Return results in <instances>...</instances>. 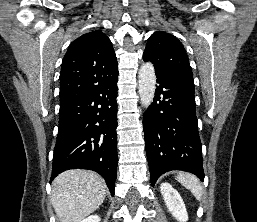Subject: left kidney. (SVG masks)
<instances>
[{
    "label": "left kidney",
    "instance_id": "left-kidney-1",
    "mask_svg": "<svg viewBox=\"0 0 257 222\" xmlns=\"http://www.w3.org/2000/svg\"><path fill=\"white\" fill-rule=\"evenodd\" d=\"M160 191L168 211L173 215V217L180 222H186L188 220V214L179 193L166 182L160 185Z\"/></svg>",
    "mask_w": 257,
    "mask_h": 222
}]
</instances>
